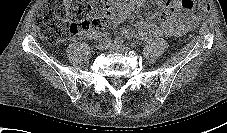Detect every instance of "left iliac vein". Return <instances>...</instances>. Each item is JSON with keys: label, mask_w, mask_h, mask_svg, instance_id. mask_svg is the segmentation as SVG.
Segmentation results:
<instances>
[{"label": "left iliac vein", "mask_w": 227, "mask_h": 133, "mask_svg": "<svg viewBox=\"0 0 227 133\" xmlns=\"http://www.w3.org/2000/svg\"><path fill=\"white\" fill-rule=\"evenodd\" d=\"M108 49L113 51H122L125 49L124 45H118V44H109Z\"/></svg>", "instance_id": "left-iliac-vein-1"}]
</instances>
